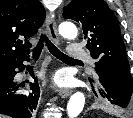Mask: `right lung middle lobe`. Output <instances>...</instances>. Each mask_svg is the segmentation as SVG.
Listing matches in <instances>:
<instances>
[{"instance_id": "right-lung-middle-lobe-1", "label": "right lung middle lobe", "mask_w": 133, "mask_h": 118, "mask_svg": "<svg viewBox=\"0 0 133 118\" xmlns=\"http://www.w3.org/2000/svg\"><path fill=\"white\" fill-rule=\"evenodd\" d=\"M5 67H0V77L5 73Z\"/></svg>"}]
</instances>
